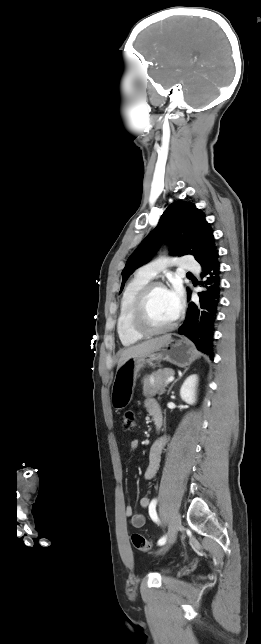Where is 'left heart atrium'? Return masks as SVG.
Wrapping results in <instances>:
<instances>
[{"mask_svg":"<svg viewBox=\"0 0 261 644\" xmlns=\"http://www.w3.org/2000/svg\"><path fill=\"white\" fill-rule=\"evenodd\" d=\"M169 296L174 304L177 314L181 312L184 304L183 293L179 286H175L168 290Z\"/></svg>","mask_w":261,"mask_h":644,"instance_id":"1","label":"left heart atrium"}]
</instances>
